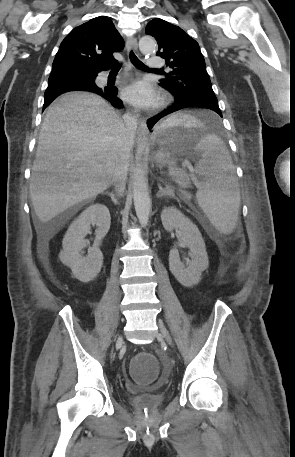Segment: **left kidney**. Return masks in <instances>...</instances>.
<instances>
[{
	"label": "left kidney",
	"instance_id": "obj_1",
	"mask_svg": "<svg viewBox=\"0 0 295 457\" xmlns=\"http://www.w3.org/2000/svg\"><path fill=\"white\" fill-rule=\"evenodd\" d=\"M163 227L167 231L180 230L181 243L188 246L191 261L187 268L181 263L179 252L173 249L169 253L171 273L185 287L196 285L202 272L208 268L209 261L206 246L197 226L175 207L164 208L161 212Z\"/></svg>",
	"mask_w": 295,
	"mask_h": 457
}]
</instances>
